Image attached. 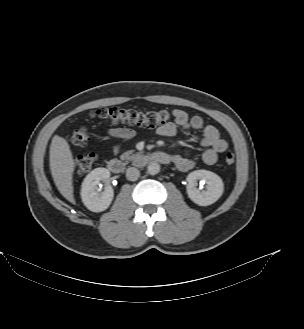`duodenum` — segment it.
<instances>
[{
	"instance_id": "duodenum-1",
	"label": "duodenum",
	"mask_w": 304,
	"mask_h": 329,
	"mask_svg": "<svg viewBox=\"0 0 304 329\" xmlns=\"http://www.w3.org/2000/svg\"><path fill=\"white\" fill-rule=\"evenodd\" d=\"M130 159L137 166H143L148 163L170 164L172 162V156L160 151L133 153L130 155ZM107 167L112 173L120 174L125 169V163L120 159H111L108 161Z\"/></svg>"
}]
</instances>
